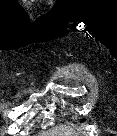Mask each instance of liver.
I'll return each mask as SVG.
<instances>
[{
    "mask_svg": "<svg viewBox=\"0 0 117 136\" xmlns=\"http://www.w3.org/2000/svg\"><path fill=\"white\" fill-rule=\"evenodd\" d=\"M74 134H76L74 130L66 126L56 127L52 131L43 133V135L47 136H71Z\"/></svg>",
    "mask_w": 117,
    "mask_h": 136,
    "instance_id": "1",
    "label": "liver"
}]
</instances>
